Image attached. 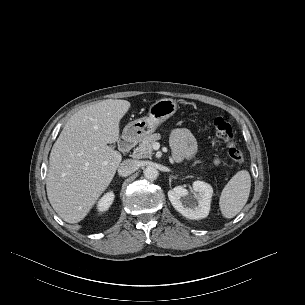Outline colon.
Returning a JSON list of instances; mask_svg holds the SVG:
<instances>
[{
    "mask_svg": "<svg viewBox=\"0 0 305 305\" xmlns=\"http://www.w3.org/2000/svg\"><path fill=\"white\" fill-rule=\"evenodd\" d=\"M213 124L216 135L220 137L227 146L229 157L237 165H241L244 161V156L241 150L236 145V141L230 123L222 117H217L215 118Z\"/></svg>",
    "mask_w": 305,
    "mask_h": 305,
    "instance_id": "5ec220e1",
    "label": "colon"
}]
</instances>
